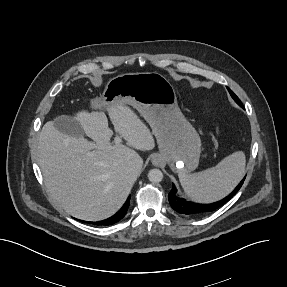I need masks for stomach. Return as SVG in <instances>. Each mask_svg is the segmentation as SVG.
Masks as SVG:
<instances>
[{
	"mask_svg": "<svg viewBox=\"0 0 287 287\" xmlns=\"http://www.w3.org/2000/svg\"><path fill=\"white\" fill-rule=\"evenodd\" d=\"M129 104L149 123L160 153L156 159L168 163L178 174H188L199 164L201 140L179 109L175 90L157 72L127 73L111 78L94 107Z\"/></svg>",
	"mask_w": 287,
	"mask_h": 287,
	"instance_id": "1",
	"label": "stomach"
}]
</instances>
